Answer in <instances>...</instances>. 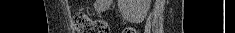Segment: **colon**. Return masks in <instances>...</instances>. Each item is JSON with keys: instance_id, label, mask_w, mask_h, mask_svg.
<instances>
[{"instance_id": "5ec220e1", "label": "colon", "mask_w": 235, "mask_h": 33, "mask_svg": "<svg viewBox=\"0 0 235 33\" xmlns=\"http://www.w3.org/2000/svg\"><path fill=\"white\" fill-rule=\"evenodd\" d=\"M73 22L77 33H109L105 22L89 17L83 13H77L73 17ZM136 30L128 28L126 33H135Z\"/></svg>"}]
</instances>
